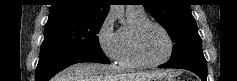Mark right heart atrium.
Segmentation results:
<instances>
[{
	"label": "right heart atrium",
	"mask_w": 237,
	"mask_h": 81,
	"mask_svg": "<svg viewBox=\"0 0 237 81\" xmlns=\"http://www.w3.org/2000/svg\"><path fill=\"white\" fill-rule=\"evenodd\" d=\"M98 45L105 56L117 60L119 54L118 31L114 29V22L110 14L106 15L97 31Z\"/></svg>",
	"instance_id": "d8ad5b80"
}]
</instances>
